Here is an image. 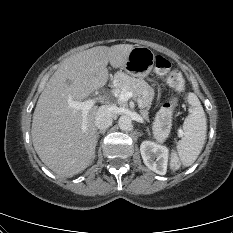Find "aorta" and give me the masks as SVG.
I'll return each mask as SVG.
<instances>
[{
	"label": "aorta",
	"mask_w": 233,
	"mask_h": 233,
	"mask_svg": "<svg viewBox=\"0 0 233 233\" xmlns=\"http://www.w3.org/2000/svg\"><path fill=\"white\" fill-rule=\"evenodd\" d=\"M118 125L123 131L130 130L132 127V120L129 116L123 115L119 118Z\"/></svg>",
	"instance_id": "aorta-1"
}]
</instances>
